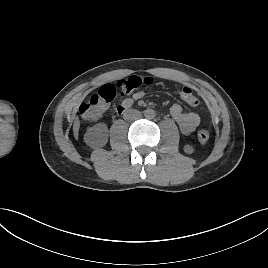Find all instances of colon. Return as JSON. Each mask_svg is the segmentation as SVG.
Masks as SVG:
<instances>
[{"mask_svg": "<svg viewBox=\"0 0 268 268\" xmlns=\"http://www.w3.org/2000/svg\"><path fill=\"white\" fill-rule=\"evenodd\" d=\"M154 82L155 79L153 77L133 75L122 78L116 81L115 84H104L97 93L93 94L88 101L81 105L80 114L84 120L94 122L103 116L118 94L127 95L140 86H150ZM178 94L191 107L199 106L200 100L189 87L179 88ZM197 137L201 143H206L210 139V132L206 128L201 129Z\"/></svg>", "mask_w": 268, "mask_h": 268, "instance_id": "obj_1", "label": "colon"}]
</instances>
